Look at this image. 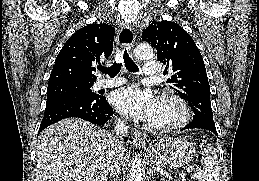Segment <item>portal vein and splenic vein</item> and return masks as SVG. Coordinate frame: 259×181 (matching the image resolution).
Instances as JSON below:
<instances>
[{
    "mask_svg": "<svg viewBox=\"0 0 259 181\" xmlns=\"http://www.w3.org/2000/svg\"><path fill=\"white\" fill-rule=\"evenodd\" d=\"M180 176H181L182 178H184L185 174H184V173H182V174H180Z\"/></svg>",
    "mask_w": 259,
    "mask_h": 181,
    "instance_id": "portal-vein-and-splenic-vein-1",
    "label": "portal vein and splenic vein"
}]
</instances>
